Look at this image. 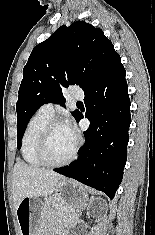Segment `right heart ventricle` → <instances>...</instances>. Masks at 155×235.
Instances as JSON below:
<instances>
[{
    "mask_svg": "<svg viewBox=\"0 0 155 235\" xmlns=\"http://www.w3.org/2000/svg\"><path fill=\"white\" fill-rule=\"evenodd\" d=\"M51 119L52 116L37 111L25 127L21 139V155L23 160L32 167L43 165L37 157L36 149L42 130Z\"/></svg>",
    "mask_w": 155,
    "mask_h": 235,
    "instance_id": "right-heart-ventricle-1",
    "label": "right heart ventricle"
}]
</instances>
